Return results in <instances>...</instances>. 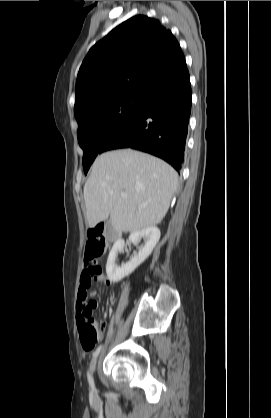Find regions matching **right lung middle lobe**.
<instances>
[{
  "label": "right lung middle lobe",
  "instance_id": "right-lung-middle-lobe-1",
  "mask_svg": "<svg viewBox=\"0 0 271 418\" xmlns=\"http://www.w3.org/2000/svg\"><path fill=\"white\" fill-rule=\"evenodd\" d=\"M148 100L141 95L126 93L75 114L85 174L111 132L138 112Z\"/></svg>",
  "mask_w": 271,
  "mask_h": 418
}]
</instances>
